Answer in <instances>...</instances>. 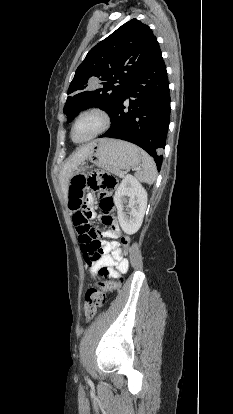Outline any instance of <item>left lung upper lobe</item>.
I'll return each instance as SVG.
<instances>
[{
	"mask_svg": "<svg viewBox=\"0 0 233 414\" xmlns=\"http://www.w3.org/2000/svg\"><path fill=\"white\" fill-rule=\"evenodd\" d=\"M159 52L157 39L146 24L132 19L119 27L94 46L77 68L64 106L67 121L93 106L112 113L131 82ZM95 81H100L97 89Z\"/></svg>",
	"mask_w": 233,
	"mask_h": 414,
	"instance_id": "1",
	"label": "left lung upper lobe"
}]
</instances>
